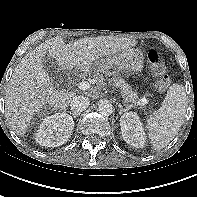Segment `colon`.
<instances>
[{
	"mask_svg": "<svg viewBox=\"0 0 197 197\" xmlns=\"http://www.w3.org/2000/svg\"><path fill=\"white\" fill-rule=\"evenodd\" d=\"M148 60L159 77L157 89L165 91L170 85V79L167 74V66L163 54L159 50L152 49L148 53Z\"/></svg>",
	"mask_w": 197,
	"mask_h": 197,
	"instance_id": "5ec220e1",
	"label": "colon"
}]
</instances>
